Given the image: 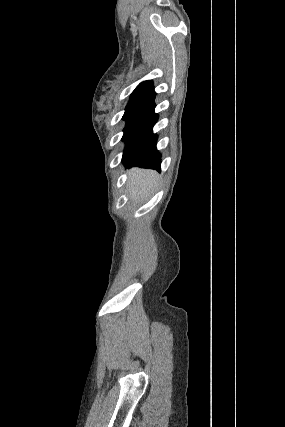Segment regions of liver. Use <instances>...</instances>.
<instances>
[{"label":"liver","mask_w":285,"mask_h":427,"mask_svg":"<svg viewBox=\"0 0 285 427\" xmlns=\"http://www.w3.org/2000/svg\"><path fill=\"white\" fill-rule=\"evenodd\" d=\"M158 174L153 170L133 168L129 171L128 192L135 201L146 200L158 182Z\"/></svg>","instance_id":"1"}]
</instances>
